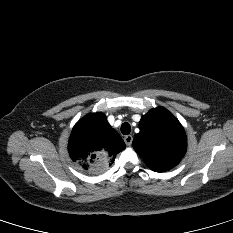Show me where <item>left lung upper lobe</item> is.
I'll return each mask as SVG.
<instances>
[{
    "mask_svg": "<svg viewBox=\"0 0 233 233\" xmlns=\"http://www.w3.org/2000/svg\"><path fill=\"white\" fill-rule=\"evenodd\" d=\"M139 128L132 144L153 171H167L181 161L187 147L186 134L167 109L159 106L143 115Z\"/></svg>",
    "mask_w": 233,
    "mask_h": 233,
    "instance_id": "5c2ea615",
    "label": "left lung upper lobe"
}]
</instances>
